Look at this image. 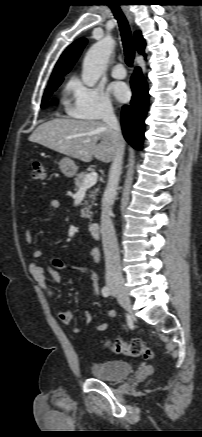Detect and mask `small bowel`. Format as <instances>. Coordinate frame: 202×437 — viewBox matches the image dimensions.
<instances>
[{
    "mask_svg": "<svg viewBox=\"0 0 202 437\" xmlns=\"http://www.w3.org/2000/svg\"><path fill=\"white\" fill-rule=\"evenodd\" d=\"M49 206L52 209H58L60 207V201L58 199H51L49 201ZM25 240L28 244H31L33 242V234L30 229L26 230L25 232ZM32 257L35 261L30 263L28 270L32 278L37 282V284L44 290H46L50 295H52V292L46 283V277H45V268L38 263L37 260L44 258V254L41 250L35 249L32 252ZM91 257L94 261L97 260L98 255L95 251L91 252ZM46 269L51 275L52 280L55 283H60L62 281V271L67 267V264L63 262L62 260L46 257ZM74 269H77L82 272H89L92 280V294L90 297V301H92L99 293V279L98 275L86 267L82 266H74ZM107 316L109 319H114L116 317V312L112 309H109L107 311ZM58 318L59 320L65 324V325H71L74 319V316L71 311L69 310H60L58 312ZM84 319L86 322V325H90L92 323V315L89 311L84 312ZM95 330L99 332H104L107 330L108 325L106 323H100L94 326ZM79 327H74L73 332L78 333L80 332Z\"/></svg>",
    "mask_w": 202,
    "mask_h": 437,
    "instance_id": "c3829d8e",
    "label": "small bowel"
}]
</instances>
